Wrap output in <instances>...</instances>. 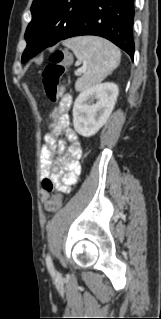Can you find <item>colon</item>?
Masks as SVG:
<instances>
[{"mask_svg":"<svg viewBox=\"0 0 161 319\" xmlns=\"http://www.w3.org/2000/svg\"><path fill=\"white\" fill-rule=\"evenodd\" d=\"M69 60V56L64 51H56L50 57L46 67L41 72V86L46 97L53 103L59 99L58 86L62 78L65 66ZM42 188L47 193L54 191V183L51 179L46 178L42 181ZM62 204L61 197L54 195L47 202V209L49 211H57Z\"/></svg>","mask_w":161,"mask_h":319,"instance_id":"colon-1","label":"colon"}]
</instances>
